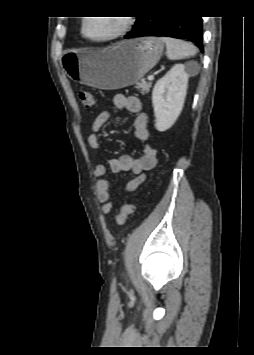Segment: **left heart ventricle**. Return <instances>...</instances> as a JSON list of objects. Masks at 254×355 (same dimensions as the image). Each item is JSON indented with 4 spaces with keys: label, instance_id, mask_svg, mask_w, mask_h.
I'll return each instance as SVG.
<instances>
[{
    "label": "left heart ventricle",
    "instance_id": "b2bd125f",
    "mask_svg": "<svg viewBox=\"0 0 254 355\" xmlns=\"http://www.w3.org/2000/svg\"><path fill=\"white\" fill-rule=\"evenodd\" d=\"M121 26V17H92L86 22L85 32L92 38H105L117 32Z\"/></svg>",
    "mask_w": 254,
    "mask_h": 355
}]
</instances>
